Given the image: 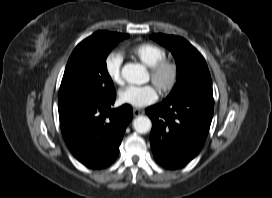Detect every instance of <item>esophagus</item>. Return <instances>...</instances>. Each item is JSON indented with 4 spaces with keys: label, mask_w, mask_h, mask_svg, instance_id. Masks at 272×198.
Masks as SVG:
<instances>
[{
    "label": "esophagus",
    "mask_w": 272,
    "mask_h": 198,
    "mask_svg": "<svg viewBox=\"0 0 272 198\" xmlns=\"http://www.w3.org/2000/svg\"><path fill=\"white\" fill-rule=\"evenodd\" d=\"M133 114H134V116H139V115L143 114V110L138 109V108H134L133 109Z\"/></svg>",
    "instance_id": "esophagus-1"
}]
</instances>
